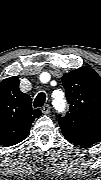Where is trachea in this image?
<instances>
[{
    "mask_svg": "<svg viewBox=\"0 0 101 180\" xmlns=\"http://www.w3.org/2000/svg\"><path fill=\"white\" fill-rule=\"evenodd\" d=\"M45 101H46L45 93L40 92L34 100V107L35 108L42 107L44 105Z\"/></svg>",
    "mask_w": 101,
    "mask_h": 180,
    "instance_id": "trachea-1",
    "label": "trachea"
}]
</instances>
